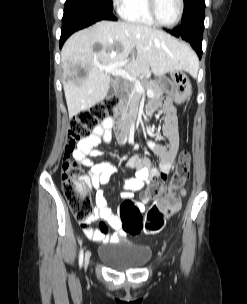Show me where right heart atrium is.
Masks as SVG:
<instances>
[{"instance_id": "obj_1", "label": "right heart atrium", "mask_w": 247, "mask_h": 304, "mask_svg": "<svg viewBox=\"0 0 247 304\" xmlns=\"http://www.w3.org/2000/svg\"><path fill=\"white\" fill-rule=\"evenodd\" d=\"M130 0H112L114 6L119 9L122 10L128 3Z\"/></svg>"}]
</instances>
